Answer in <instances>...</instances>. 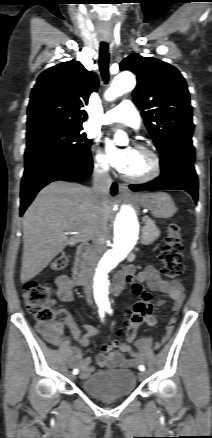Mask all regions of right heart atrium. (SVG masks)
<instances>
[{"instance_id":"right-heart-atrium-1","label":"right heart atrium","mask_w":212,"mask_h":438,"mask_svg":"<svg viewBox=\"0 0 212 438\" xmlns=\"http://www.w3.org/2000/svg\"><path fill=\"white\" fill-rule=\"evenodd\" d=\"M109 168H110V164L108 157L100 149L97 148L94 156L95 171L98 172L99 174L104 175L107 174Z\"/></svg>"}]
</instances>
